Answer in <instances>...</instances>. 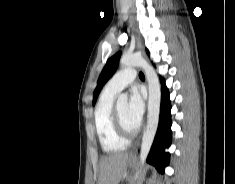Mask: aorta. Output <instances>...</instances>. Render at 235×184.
<instances>
[{
	"label": "aorta",
	"mask_w": 235,
	"mask_h": 184,
	"mask_svg": "<svg viewBox=\"0 0 235 184\" xmlns=\"http://www.w3.org/2000/svg\"><path fill=\"white\" fill-rule=\"evenodd\" d=\"M120 64L122 68H130V66L142 68L145 72L149 86L148 120L140 150V164L143 166L153 144L159 122L161 98L159 80L152 66H150L142 56H139V54H123ZM123 104H128L127 94H120V96H118L117 106H123ZM136 178H138V176H136Z\"/></svg>",
	"instance_id": "1"
}]
</instances>
